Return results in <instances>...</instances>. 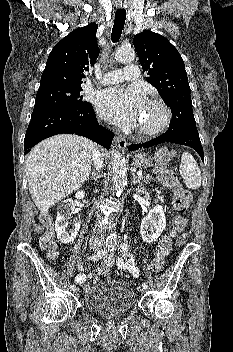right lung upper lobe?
Here are the masks:
<instances>
[{
	"mask_svg": "<svg viewBox=\"0 0 233 352\" xmlns=\"http://www.w3.org/2000/svg\"><path fill=\"white\" fill-rule=\"evenodd\" d=\"M97 28L96 23H91L75 29L54 46L42 73L40 87L81 85L84 72L89 71L99 55Z\"/></svg>",
	"mask_w": 233,
	"mask_h": 352,
	"instance_id": "cb5924a9",
	"label": "right lung upper lobe"
}]
</instances>
